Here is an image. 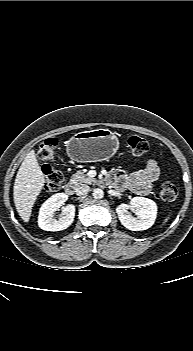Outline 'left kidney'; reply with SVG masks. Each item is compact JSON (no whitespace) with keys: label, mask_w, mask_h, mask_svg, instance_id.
Returning a JSON list of instances; mask_svg holds the SVG:
<instances>
[{"label":"left kidney","mask_w":193,"mask_h":351,"mask_svg":"<svg viewBox=\"0 0 193 351\" xmlns=\"http://www.w3.org/2000/svg\"><path fill=\"white\" fill-rule=\"evenodd\" d=\"M130 204L135 210L136 217L130 214L127 204H120L116 208L121 224L131 231H142L150 228L157 217L156 203L145 197H134Z\"/></svg>","instance_id":"5707ae66"}]
</instances>
